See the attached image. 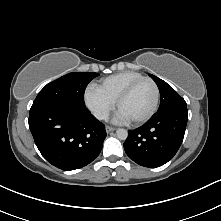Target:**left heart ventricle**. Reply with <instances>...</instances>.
<instances>
[{"label":"left heart ventricle","mask_w":221,"mask_h":221,"mask_svg":"<svg viewBox=\"0 0 221 221\" xmlns=\"http://www.w3.org/2000/svg\"><path fill=\"white\" fill-rule=\"evenodd\" d=\"M155 91L153 85L144 81L140 83L121 104V111L129 121L139 119L146 115L153 106Z\"/></svg>","instance_id":"left-heart-ventricle-1"}]
</instances>
